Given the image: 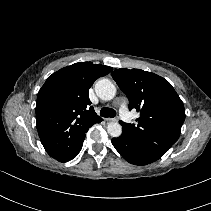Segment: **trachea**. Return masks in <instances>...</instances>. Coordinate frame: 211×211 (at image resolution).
I'll return each mask as SVG.
<instances>
[{
	"mask_svg": "<svg viewBox=\"0 0 211 211\" xmlns=\"http://www.w3.org/2000/svg\"><path fill=\"white\" fill-rule=\"evenodd\" d=\"M100 115L102 117H115L116 111L112 108L104 107V108L101 109Z\"/></svg>",
	"mask_w": 211,
	"mask_h": 211,
	"instance_id": "obj_1",
	"label": "trachea"
}]
</instances>
